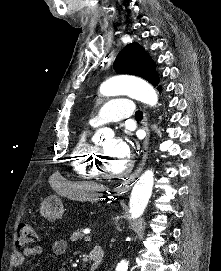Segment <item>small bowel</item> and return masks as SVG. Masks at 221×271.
Here are the masks:
<instances>
[{
	"label": "small bowel",
	"instance_id": "obj_1",
	"mask_svg": "<svg viewBox=\"0 0 221 271\" xmlns=\"http://www.w3.org/2000/svg\"><path fill=\"white\" fill-rule=\"evenodd\" d=\"M67 250V241L63 238H59L54 241L52 245L53 254L60 256ZM42 253V247L39 245L26 248L23 252H15L11 257V264L13 267H18L23 264L26 258H33L39 256ZM59 271H66L65 268H60Z\"/></svg>",
	"mask_w": 221,
	"mask_h": 271
}]
</instances>
